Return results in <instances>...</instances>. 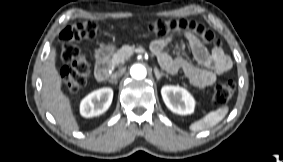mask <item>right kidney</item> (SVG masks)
I'll return each instance as SVG.
<instances>
[{
	"instance_id": "obj_1",
	"label": "right kidney",
	"mask_w": 283,
	"mask_h": 162,
	"mask_svg": "<svg viewBox=\"0 0 283 162\" xmlns=\"http://www.w3.org/2000/svg\"><path fill=\"white\" fill-rule=\"evenodd\" d=\"M113 90L109 87L95 90L88 94L80 103V114L90 118L99 116L108 110L112 103Z\"/></svg>"
}]
</instances>
